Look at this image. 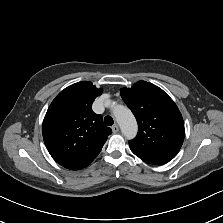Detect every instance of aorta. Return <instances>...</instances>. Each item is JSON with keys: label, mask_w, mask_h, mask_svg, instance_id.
<instances>
[{"label": "aorta", "mask_w": 223, "mask_h": 223, "mask_svg": "<svg viewBox=\"0 0 223 223\" xmlns=\"http://www.w3.org/2000/svg\"><path fill=\"white\" fill-rule=\"evenodd\" d=\"M113 114L123 134L128 138L134 137L137 132V124L131 111L127 107L117 106L113 109Z\"/></svg>", "instance_id": "obj_1"}]
</instances>
